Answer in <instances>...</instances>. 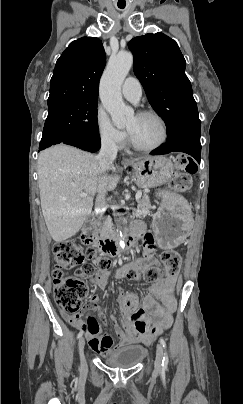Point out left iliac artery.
I'll return each instance as SVG.
<instances>
[{
    "label": "left iliac artery",
    "instance_id": "left-iliac-artery-1",
    "mask_svg": "<svg viewBox=\"0 0 243 404\" xmlns=\"http://www.w3.org/2000/svg\"><path fill=\"white\" fill-rule=\"evenodd\" d=\"M160 343L163 346V348L166 350V342L163 338H160ZM168 355L167 352H165L164 357H163V361H162V366L163 368H166L168 365Z\"/></svg>",
    "mask_w": 243,
    "mask_h": 404
}]
</instances>
